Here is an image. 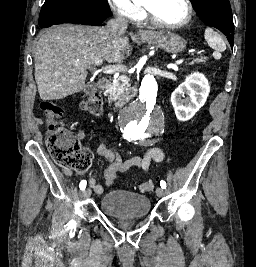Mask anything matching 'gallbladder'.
I'll return each mask as SVG.
<instances>
[{
	"label": "gallbladder",
	"instance_id": "bac80fb5",
	"mask_svg": "<svg viewBox=\"0 0 256 267\" xmlns=\"http://www.w3.org/2000/svg\"><path fill=\"white\" fill-rule=\"evenodd\" d=\"M84 92L85 94H93V92H96L95 82H88V84L85 86Z\"/></svg>",
	"mask_w": 256,
	"mask_h": 267
}]
</instances>
